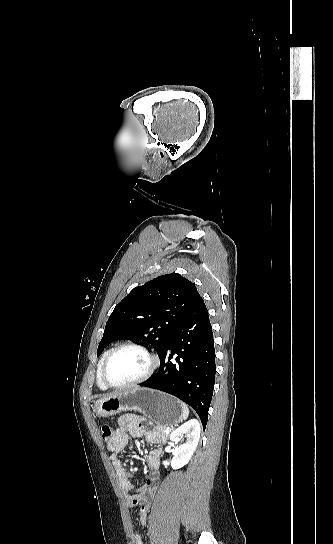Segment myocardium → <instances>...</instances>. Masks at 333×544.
Returning <instances> with one entry per match:
<instances>
[{"label": "myocardium", "instance_id": "1", "mask_svg": "<svg viewBox=\"0 0 333 544\" xmlns=\"http://www.w3.org/2000/svg\"><path fill=\"white\" fill-rule=\"evenodd\" d=\"M122 349H135V350H138V351L142 352L148 359V367H147L146 371L141 376H139L138 378H136V379H134L132 381H129V382L123 383V384H113L108 380L107 375H106V370H107L108 364H109L110 360L112 359V357L118 351H120ZM158 366H159V359H158L157 355H155L149 348H147L146 346H144V345H142L140 343L125 342V343L119 344L118 346H116L115 348H113L112 350L109 351V353L105 357V359L103 361V364L101 366L100 375H101V380H102V382L104 383L105 386H107L109 388H114V389H123V388L133 387V386H136L138 384H141V383L147 381L154 374V372L156 371Z\"/></svg>", "mask_w": 333, "mask_h": 544}]
</instances>
